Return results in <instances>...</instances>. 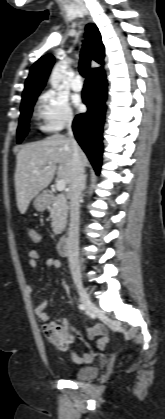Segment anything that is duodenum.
Instances as JSON below:
<instances>
[{
    "label": "duodenum",
    "instance_id": "obj_1",
    "mask_svg": "<svg viewBox=\"0 0 165 419\" xmlns=\"http://www.w3.org/2000/svg\"><path fill=\"white\" fill-rule=\"evenodd\" d=\"M50 193L44 194L46 199L50 198ZM58 253L61 256L68 255V236L66 234L62 235L58 240Z\"/></svg>",
    "mask_w": 165,
    "mask_h": 419
}]
</instances>
